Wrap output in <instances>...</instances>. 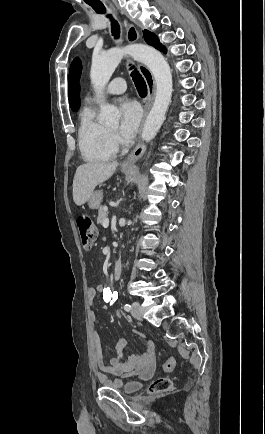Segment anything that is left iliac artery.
<instances>
[{
  "label": "left iliac artery",
  "mask_w": 265,
  "mask_h": 434,
  "mask_svg": "<svg viewBox=\"0 0 265 434\" xmlns=\"http://www.w3.org/2000/svg\"><path fill=\"white\" fill-rule=\"evenodd\" d=\"M124 310H126V311H130V310H131V305H129V304H125V305H124Z\"/></svg>",
  "instance_id": "1"
}]
</instances>
